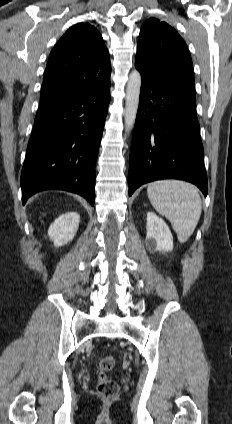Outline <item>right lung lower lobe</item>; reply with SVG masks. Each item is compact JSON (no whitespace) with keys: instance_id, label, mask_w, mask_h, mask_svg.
<instances>
[{"instance_id":"right-lung-lower-lobe-1","label":"right lung lower lobe","mask_w":232,"mask_h":424,"mask_svg":"<svg viewBox=\"0 0 232 424\" xmlns=\"http://www.w3.org/2000/svg\"><path fill=\"white\" fill-rule=\"evenodd\" d=\"M110 84L40 102L21 173L22 203L46 189L77 193L94 205L95 163Z\"/></svg>"}]
</instances>
